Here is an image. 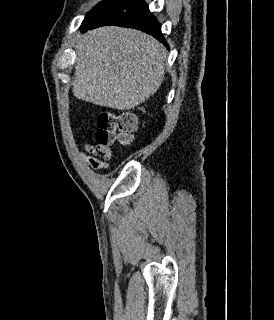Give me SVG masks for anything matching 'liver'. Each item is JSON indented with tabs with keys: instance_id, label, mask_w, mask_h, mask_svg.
<instances>
[{
	"instance_id": "obj_1",
	"label": "liver",
	"mask_w": 274,
	"mask_h": 320,
	"mask_svg": "<svg viewBox=\"0 0 274 320\" xmlns=\"http://www.w3.org/2000/svg\"><path fill=\"white\" fill-rule=\"evenodd\" d=\"M166 58V48L138 30H89L78 42L73 94L96 106L133 110L160 88Z\"/></svg>"
}]
</instances>
